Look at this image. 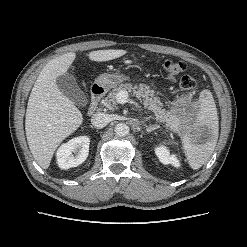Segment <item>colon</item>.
<instances>
[{
  "label": "colon",
  "mask_w": 247,
  "mask_h": 247,
  "mask_svg": "<svg viewBox=\"0 0 247 247\" xmlns=\"http://www.w3.org/2000/svg\"><path fill=\"white\" fill-rule=\"evenodd\" d=\"M163 69L167 77L175 81L186 69V64L179 60L167 59L163 63ZM180 89L183 91H190L195 86V80L188 75H184L179 80Z\"/></svg>",
  "instance_id": "obj_1"
}]
</instances>
